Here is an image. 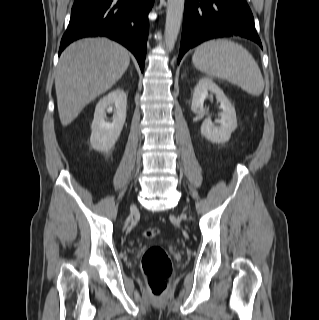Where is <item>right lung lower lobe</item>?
Listing matches in <instances>:
<instances>
[{
	"instance_id": "obj_1",
	"label": "right lung lower lobe",
	"mask_w": 319,
	"mask_h": 320,
	"mask_svg": "<svg viewBox=\"0 0 319 320\" xmlns=\"http://www.w3.org/2000/svg\"><path fill=\"white\" fill-rule=\"evenodd\" d=\"M154 0H75L59 55L71 42L89 36H107L125 47L144 69L149 30L148 13Z\"/></svg>"
}]
</instances>
